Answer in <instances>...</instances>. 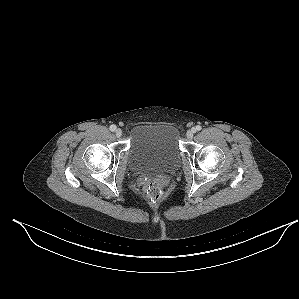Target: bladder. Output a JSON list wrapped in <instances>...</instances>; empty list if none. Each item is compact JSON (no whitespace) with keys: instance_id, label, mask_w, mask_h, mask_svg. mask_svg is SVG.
<instances>
[{"instance_id":"31cf9c89","label":"bladder","mask_w":299,"mask_h":299,"mask_svg":"<svg viewBox=\"0 0 299 299\" xmlns=\"http://www.w3.org/2000/svg\"><path fill=\"white\" fill-rule=\"evenodd\" d=\"M178 130L170 124H142L131 133L128 149L130 168L138 174L161 175L179 165Z\"/></svg>"}]
</instances>
